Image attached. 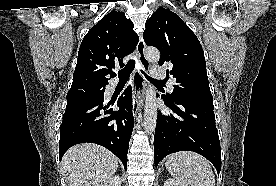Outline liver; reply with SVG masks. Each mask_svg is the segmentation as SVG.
Returning a JSON list of instances; mask_svg holds the SVG:
<instances>
[{
  "mask_svg": "<svg viewBox=\"0 0 276 186\" xmlns=\"http://www.w3.org/2000/svg\"><path fill=\"white\" fill-rule=\"evenodd\" d=\"M61 168L67 186H102L115 174L118 158L100 145L83 143L64 154Z\"/></svg>",
  "mask_w": 276,
  "mask_h": 186,
  "instance_id": "obj_1",
  "label": "liver"
}]
</instances>
